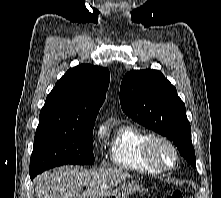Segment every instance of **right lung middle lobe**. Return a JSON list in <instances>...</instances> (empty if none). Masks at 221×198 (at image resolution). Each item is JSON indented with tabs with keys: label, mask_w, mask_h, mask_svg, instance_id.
Segmentation results:
<instances>
[{
	"label": "right lung middle lobe",
	"mask_w": 221,
	"mask_h": 198,
	"mask_svg": "<svg viewBox=\"0 0 221 198\" xmlns=\"http://www.w3.org/2000/svg\"><path fill=\"white\" fill-rule=\"evenodd\" d=\"M93 128L86 130L37 129L30 158V178L55 166L93 164L95 160L92 148Z\"/></svg>",
	"instance_id": "1"
}]
</instances>
